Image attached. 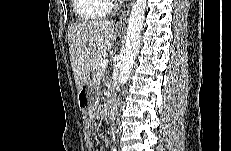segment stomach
<instances>
[{"label": "stomach", "mask_w": 231, "mask_h": 151, "mask_svg": "<svg viewBox=\"0 0 231 151\" xmlns=\"http://www.w3.org/2000/svg\"><path fill=\"white\" fill-rule=\"evenodd\" d=\"M99 95V85L89 77L78 90L77 100L80 111L85 115L91 114L96 108Z\"/></svg>", "instance_id": "obj_1"}]
</instances>
